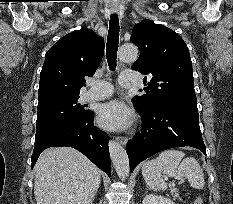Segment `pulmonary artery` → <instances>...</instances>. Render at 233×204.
<instances>
[{
    "instance_id": "pulmonary-artery-1",
    "label": "pulmonary artery",
    "mask_w": 233,
    "mask_h": 204,
    "mask_svg": "<svg viewBox=\"0 0 233 204\" xmlns=\"http://www.w3.org/2000/svg\"><path fill=\"white\" fill-rule=\"evenodd\" d=\"M137 83L138 79L133 73H122L119 77V84L122 87H131ZM89 85L90 88L83 95L86 101L105 99L113 93V87L107 81H90Z\"/></svg>"
}]
</instances>
